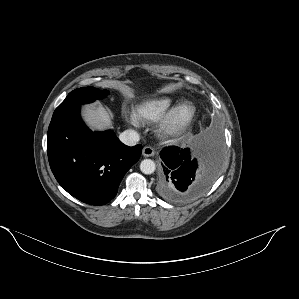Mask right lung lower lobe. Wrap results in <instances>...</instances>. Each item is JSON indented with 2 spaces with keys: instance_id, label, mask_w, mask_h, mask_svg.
<instances>
[{
  "instance_id": "right-lung-lower-lobe-1",
  "label": "right lung lower lobe",
  "mask_w": 299,
  "mask_h": 299,
  "mask_svg": "<svg viewBox=\"0 0 299 299\" xmlns=\"http://www.w3.org/2000/svg\"><path fill=\"white\" fill-rule=\"evenodd\" d=\"M141 151L140 144L128 147L112 131L88 129L80 118V105L53 116L48 128L47 153L56 180L69 194L91 205L115 197Z\"/></svg>"
}]
</instances>
